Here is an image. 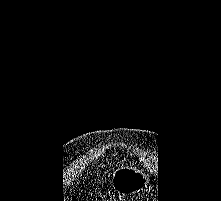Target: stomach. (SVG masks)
I'll return each mask as SVG.
<instances>
[{"label": "stomach", "mask_w": 221, "mask_h": 201, "mask_svg": "<svg viewBox=\"0 0 221 201\" xmlns=\"http://www.w3.org/2000/svg\"><path fill=\"white\" fill-rule=\"evenodd\" d=\"M149 176L133 167L123 166L113 172L111 184L119 194L129 195L144 189L149 183Z\"/></svg>", "instance_id": "obj_1"}]
</instances>
